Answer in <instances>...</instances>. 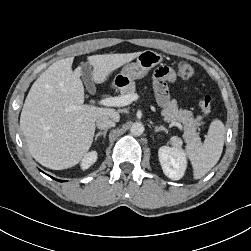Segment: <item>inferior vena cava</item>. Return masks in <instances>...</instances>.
Wrapping results in <instances>:
<instances>
[{
    "mask_svg": "<svg viewBox=\"0 0 251 251\" xmlns=\"http://www.w3.org/2000/svg\"><path fill=\"white\" fill-rule=\"evenodd\" d=\"M115 118L110 115H100L96 119V126L98 129L107 130L108 128L115 126Z\"/></svg>",
    "mask_w": 251,
    "mask_h": 251,
    "instance_id": "1",
    "label": "inferior vena cava"
}]
</instances>
